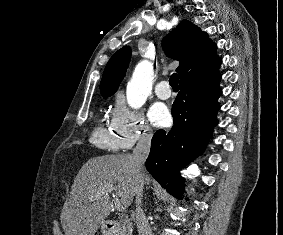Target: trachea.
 <instances>
[{"label":"trachea","mask_w":283,"mask_h":235,"mask_svg":"<svg viewBox=\"0 0 283 235\" xmlns=\"http://www.w3.org/2000/svg\"><path fill=\"white\" fill-rule=\"evenodd\" d=\"M179 75L172 74L169 80V83L173 89H178Z\"/></svg>","instance_id":"trachea-1"}]
</instances>
